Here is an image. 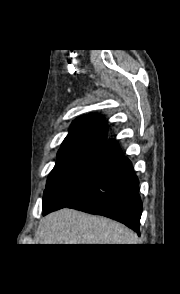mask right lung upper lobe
Returning <instances> with one entry per match:
<instances>
[{
  "label": "right lung upper lobe",
  "instance_id": "1",
  "mask_svg": "<svg viewBox=\"0 0 180 294\" xmlns=\"http://www.w3.org/2000/svg\"><path fill=\"white\" fill-rule=\"evenodd\" d=\"M108 127L100 115H85L74 120L62 145L73 143L102 144L106 141Z\"/></svg>",
  "mask_w": 180,
  "mask_h": 294
}]
</instances>
